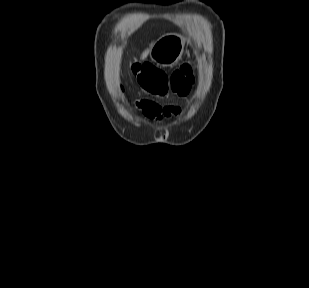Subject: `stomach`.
Masks as SVG:
<instances>
[{"label":"stomach","instance_id":"0dacf381","mask_svg":"<svg viewBox=\"0 0 309 288\" xmlns=\"http://www.w3.org/2000/svg\"><path fill=\"white\" fill-rule=\"evenodd\" d=\"M185 41V38L180 34L163 35L151 47L150 59L158 65H174L183 54Z\"/></svg>","mask_w":309,"mask_h":288}]
</instances>
